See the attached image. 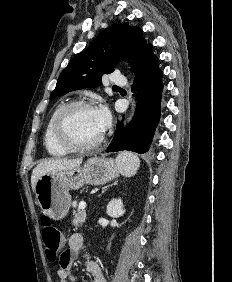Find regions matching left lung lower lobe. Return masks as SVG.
Instances as JSON below:
<instances>
[{
	"label": "left lung lower lobe",
	"mask_w": 232,
	"mask_h": 282,
	"mask_svg": "<svg viewBox=\"0 0 232 282\" xmlns=\"http://www.w3.org/2000/svg\"><path fill=\"white\" fill-rule=\"evenodd\" d=\"M133 70L136 74L133 91L138 92L135 115L127 128L122 122L117 123L114 138L106 152L128 150L146 153L159 122L163 73L158 66V58L152 53L151 44L146 46Z\"/></svg>",
	"instance_id": "0a47b994"
}]
</instances>
